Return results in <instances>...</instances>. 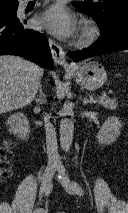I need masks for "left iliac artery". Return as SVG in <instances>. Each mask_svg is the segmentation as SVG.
I'll use <instances>...</instances> for the list:
<instances>
[{"mask_svg": "<svg viewBox=\"0 0 128 213\" xmlns=\"http://www.w3.org/2000/svg\"><path fill=\"white\" fill-rule=\"evenodd\" d=\"M73 185H74V189H75V191H76V193L78 194V195H83L84 194V191H83V189H82V187L77 183V182H73Z\"/></svg>", "mask_w": 128, "mask_h": 213, "instance_id": "44dca946", "label": "left iliac artery"}]
</instances>
